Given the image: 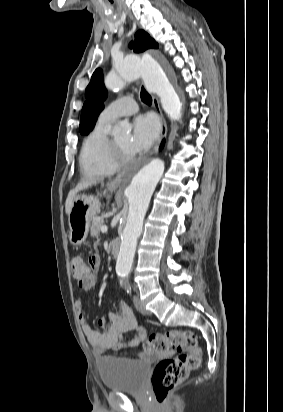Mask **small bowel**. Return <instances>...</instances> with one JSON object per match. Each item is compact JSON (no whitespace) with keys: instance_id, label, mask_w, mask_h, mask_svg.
<instances>
[{"instance_id":"obj_1","label":"small bowel","mask_w":283,"mask_h":412,"mask_svg":"<svg viewBox=\"0 0 283 412\" xmlns=\"http://www.w3.org/2000/svg\"><path fill=\"white\" fill-rule=\"evenodd\" d=\"M97 258V269L100 264L99 257ZM96 284L95 274H91L88 278L79 282L81 288L85 290L92 289ZM75 309L80 322L81 329L86 335L89 343L93 348L94 355L103 360L107 357V351H119L136 346L145 341L147 331L141 327L136 320L131 308L125 303H119V313L109 312L107 317L98 319V326L103 329L102 332L94 330L87 321V317L83 311V304L80 299L75 300ZM128 332H134L135 336L132 340L126 341L124 336ZM144 356V355H143Z\"/></svg>"}]
</instances>
